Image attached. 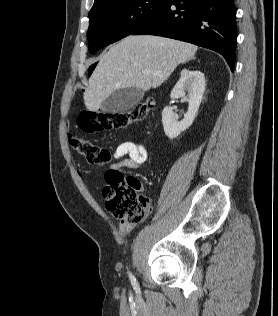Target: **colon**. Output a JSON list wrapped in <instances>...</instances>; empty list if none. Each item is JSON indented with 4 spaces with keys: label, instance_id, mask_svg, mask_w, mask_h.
I'll return each mask as SVG.
<instances>
[{
    "label": "colon",
    "instance_id": "5ec220e1",
    "mask_svg": "<svg viewBox=\"0 0 278 316\" xmlns=\"http://www.w3.org/2000/svg\"><path fill=\"white\" fill-rule=\"evenodd\" d=\"M154 101L146 102L129 111L117 113H96L85 110L77 119L78 128L87 134L124 128L127 125L145 119L153 108ZM72 147L87 161L95 165H105L112 159L111 152L85 138L70 137ZM106 186L103 196L108 211L128 224L141 222L149 212L148 199L140 194L141 183L132 176L125 177L119 170H109L105 176Z\"/></svg>",
    "mask_w": 278,
    "mask_h": 316
}]
</instances>
